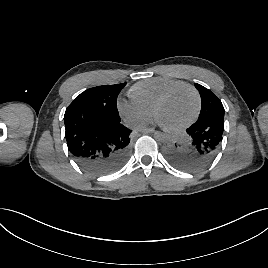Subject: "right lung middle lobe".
Wrapping results in <instances>:
<instances>
[{"instance_id":"1","label":"right lung middle lobe","mask_w":268,"mask_h":268,"mask_svg":"<svg viewBox=\"0 0 268 268\" xmlns=\"http://www.w3.org/2000/svg\"><path fill=\"white\" fill-rule=\"evenodd\" d=\"M126 83L104 85L90 88L78 95L66 109L68 114L76 109L87 107L107 113H118L117 97Z\"/></svg>"}]
</instances>
